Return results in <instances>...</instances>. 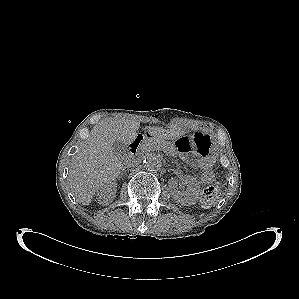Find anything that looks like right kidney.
Masks as SVG:
<instances>
[{
	"label": "right kidney",
	"instance_id": "right-kidney-1",
	"mask_svg": "<svg viewBox=\"0 0 299 299\" xmlns=\"http://www.w3.org/2000/svg\"><path fill=\"white\" fill-rule=\"evenodd\" d=\"M116 184L110 183L102 186L97 192V201L99 204L107 205L112 202L116 194Z\"/></svg>",
	"mask_w": 299,
	"mask_h": 299
}]
</instances>
